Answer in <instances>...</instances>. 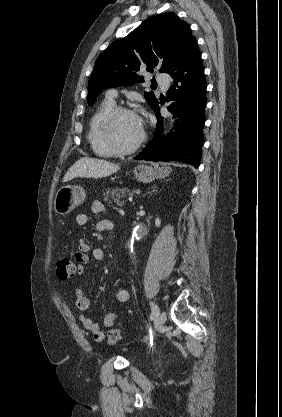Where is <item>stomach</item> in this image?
I'll return each mask as SVG.
<instances>
[{"mask_svg":"<svg viewBox=\"0 0 282 417\" xmlns=\"http://www.w3.org/2000/svg\"><path fill=\"white\" fill-rule=\"evenodd\" d=\"M134 176L140 182H152L155 178H164L171 172L170 166H147V164H138L134 166ZM86 198V192L82 186L78 184H68V186H61L56 192L54 200V211L58 215H67L73 209H76L78 204H82Z\"/></svg>","mask_w":282,"mask_h":417,"instance_id":"1","label":"stomach"}]
</instances>
